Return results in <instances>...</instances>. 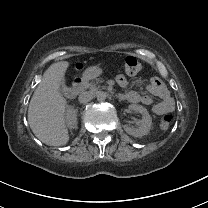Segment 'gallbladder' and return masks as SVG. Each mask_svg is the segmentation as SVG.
<instances>
[{"label": "gallbladder", "mask_w": 208, "mask_h": 208, "mask_svg": "<svg viewBox=\"0 0 208 208\" xmlns=\"http://www.w3.org/2000/svg\"><path fill=\"white\" fill-rule=\"evenodd\" d=\"M58 94H59L62 98H67V97L71 94V89H70L67 85H62V86L58 89Z\"/></svg>", "instance_id": "bac80fb5"}]
</instances>
